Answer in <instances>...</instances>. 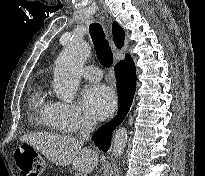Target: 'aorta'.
<instances>
[{
  "label": "aorta",
  "instance_id": "1",
  "mask_svg": "<svg viewBox=\"0 0 205 176\" xmlns=\"http://www.w3.org/2000/svg\"><path fill=\"white\" fill-rule=\"evenodd\" d=\"M91 51V47L85 41L73 40L68 43L55 62L53 90L55 94L65 100L72 101L77 93L81 72ZM128 133L122 127L119 128L113 139V154L119 157L124 152Z\"/></svg>",
  "mask_w": 205,
  "mask_h": 176
}]
</instances>
